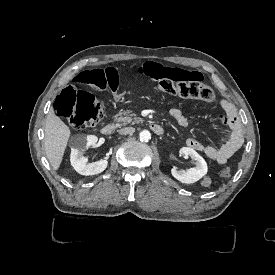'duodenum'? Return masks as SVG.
Here are the masks:
<instances>
[{
  "label": "duodenum",
  "instance_id": "duodenum-1",
  "mask_svg": "<svg viewBox=\"0 0 275 275\" xmlns=\"http://www.w3.org/2000/svg\"><path fill=\"white\" fill-rule=\"evenodd\" d=\"M150 128H151L152 132L157 135H162L164 133V128L158 123L151 124ZM114 131H115V126L112 123H108V124L104 125L103 127H101V129H100V133L105 136L112 135L114 133Z\"/></svg>",
  "mask_w": 275,
  "mask_h": 275
}]
</instances>
